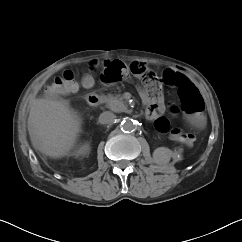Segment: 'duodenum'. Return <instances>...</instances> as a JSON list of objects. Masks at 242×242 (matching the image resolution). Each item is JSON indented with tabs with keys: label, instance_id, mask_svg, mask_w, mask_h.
I'll use <instances>...</instances> for the list:
<instances>
[{
	"label": "duodenum",
	"instance_id": "obj_1",
	"mask_svg": "<svg viewBox=\"0 0 242 242\" xmlns=\"http://www.w3.org/2000/svg\"><path fill=\"white\" fill-rule=\"evenodd\" d=\"M86 100L91 107H97L101 104V97L95 92L89 93L86 96Z\"/></svg>",
	"mask_w": 242,
	"mask_h": 242
}]
</instances>
